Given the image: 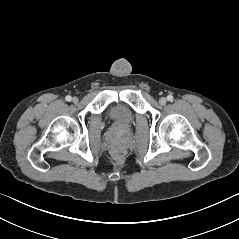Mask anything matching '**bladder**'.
<instances>
[{
    "mask_svg": "<svg viewBox=\"0 0 239 239\" xmlns=\"http://www.w3.org/2000/svg\"><path fill=\"white\" fill-rule=\"evenodd\" d=\"M108 116L119 128H127L132 122V114L130 110L122 104L112 105L108 109Z\"/></svg>",
    "mask_w": 239,
    "mask_h": 239,
    "instance_id": "1",
    "label": "bladder"
}]
</instances>
